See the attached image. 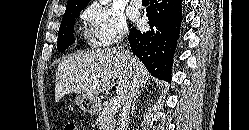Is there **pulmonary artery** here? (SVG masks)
<instances>
[{"instance_id": "e3ab8cb5", "label": "pulmonary artery", "mask_w": 249, "mask_h": 130, "mask_svg": "<svg viewBox=\"0 0 249 130\" xmlns=\"http://www.w3.org/2000/svg\"><path fill=\"white\" fill-rule=\"evenodd\" d=\"M131 4L135 7H141L142 0H131Z\"/></svg>"}]
</instances>
